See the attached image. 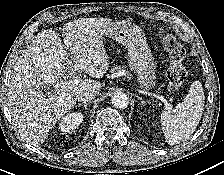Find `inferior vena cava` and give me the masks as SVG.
Here are the masks:
<instances>
[{
  "mask_svg": "<svg viewBox=\"0 0 224 175\" xmlns=\"http://www.w3.org/2000/svg\"><path fill=\"white\" fill-rule=\"evenodd\" d=\"M96 95H97V92L95 90H91V91H81L77 95V98H78V101L87 102L89 100L94 99Z\"/></svg>",
  "mask_w": 224,
  "mask_h": 175,
  "instance_id": "inferior-vena-cava-1",
  "label": "inferior vena cava"
}]
</instances>
